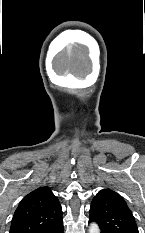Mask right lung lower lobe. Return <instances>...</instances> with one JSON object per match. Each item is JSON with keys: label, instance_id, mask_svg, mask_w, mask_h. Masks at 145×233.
I'll return each mask as SVG.
<instances>
[{"label": "right lung lower lobe", "instance_id": "obj_1", "mask_svg": "<svg viewBox=\"0 0 145 233\" xmlns=\"http://www.w3.org/2000/svg\"><path fill=\"white\" fill-rule=\"evenodd\" d=\"M49 233H63V221L60 222L54 229H52Z\"/></svg>", "mask_w": 145, "mask_h": 233}]
</instances>
